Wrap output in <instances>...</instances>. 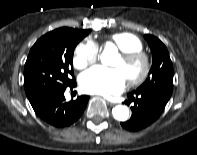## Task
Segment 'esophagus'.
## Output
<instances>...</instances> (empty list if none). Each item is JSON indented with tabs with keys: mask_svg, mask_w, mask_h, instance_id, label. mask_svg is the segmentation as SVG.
Instances as JSON below:
<instances>
[{
	"mask_svg": "<svg viewBox=\"0 0 197 155\" xmlns=\"http://www.w3.org/2000/svg\"><path fill=\"white\" fill-rule=\"evenodd\" d=\"M108 103H109L110 106H114L115 105V103L111 102V101H108Z\"/></svg>",
	"mask_w": 197,
	"mask_h": 155,
	"instance_id": "1",
	"label": "esophagus"
}]
</instances>
